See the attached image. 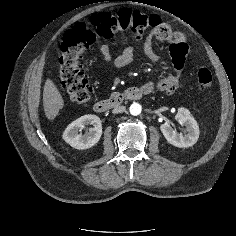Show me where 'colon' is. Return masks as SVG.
I'll list each match as a JSON object with an SVG mask.
<instances>
[{
    "label": "colon",
    "instance_id": "obj_1",
    "mask_svg": "<svg viewBox=\"0 0 236 236\" xmlns=\"http://www.w3.org/2000/svg\"><path fill=\"white\" fill-rule=\"evenodd\" d=\"M122 32H130L136 38L153 32L164 42H171L177 37L158 16L129 9L117 13H99L86 22L75 24L64 35L59 60L62 83L72 101L85 104L91 99L92 90L82 71L85 52L98 38L109 39ZM197 78L201 89L207 90L212 86L213 74L207 67L198 70Z\"/></svg>",
    "mask_w": 236,
    "mask_h": 236
}]
</instances>
